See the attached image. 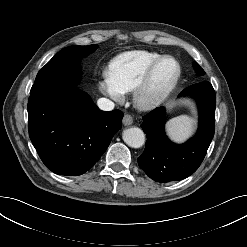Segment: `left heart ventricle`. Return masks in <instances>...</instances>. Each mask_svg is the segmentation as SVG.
Instances as JSON below:
<instances>
[{"label": "left heart ventricle", "mask_w": 247, "mask_h": 247, "mask_svg": "<svg viewBox=\"0 0 247 247\" xmlns=\"http://www.w3.org/2000/svg\"><path fill=\"white\" fill-rule=\"evenodd\" d=\"M175 74L176 65L173 61L165 60L161 62L154 73L151 89L157 91L165 87L174 78Z\"/></svg>", "instance_id": "1"}]
</instances>
